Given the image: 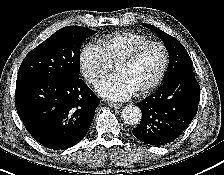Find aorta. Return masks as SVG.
Returning a JSON list of instances; mask_svg holds the SVG:
<instances>
[{
    "instance_id": "obj_1",
    "label": "aorta",
    "mask_w": 224,
    "mask_h": 175,
    "mask_svg": "<svg viewBox=\"0 0 224 175\" xmlns=\"http://www.w3.org/2000/svg\"><path fill=\"white\" fill-rule=\"evenodd\" d=\"M142 117V113L139 107L134 105H128L122 110L123 121L130 125L137 124Z\"/></svg>"
}]
</instances>
